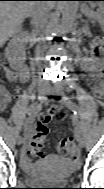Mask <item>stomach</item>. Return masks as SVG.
<instances>
[{"mask_svg":"<svg viewBox=\"0 0 104 189\" xmlns=\"http://www.w3.org/2000/svg\"><path fill=\"white\" fill-rule=\"evenodd\" d=\"M91 3H94V2H91ZM86 14H88V9L86 10Z\"/></svg>","mask_w":104,"mask_h":189,"instance_id":"obj_1","label":"stomach"}]
</instances>
